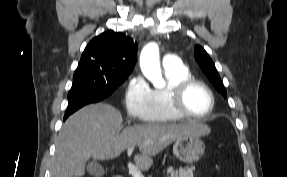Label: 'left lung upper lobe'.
Returning a JSON list of instances; mask_svg holds the SVG:
<instances>
[{
	"label": "left lung upper lobe",
	"mask_w": 287,
	"mask_h": 177,
	"mask_svg": "<svg viewBox=\"0 0 287 177\" xmlns=\"http://www.w3.org/2000/svg\"><path fill=\"white\" fill-rule=\"evenodd\" d=\"M194 54L196 61L198 62L200 68L203 70L205 75L213 83L214 87L226 98V89L224 88L223 83L216 70V67L207 52L204 50L203 47L196 45Z\"/></svg>",
	"instance_id": "obj_1"
}]
</instances>
